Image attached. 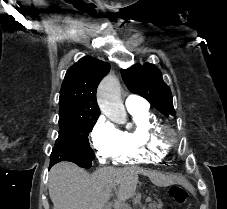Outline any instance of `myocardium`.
<instances>
[{"label": "myocardium", "instance_id": "myocardium-1", "mask_svg": "<svg viewBox=\"0 0 227 209\" xmlns=\"http://www.w3.org/2000/svg\"><path fill=\"white\" fill-rule=\"evenodd\" d=\"M150 136L154 143L167 150L181 148L185 143V138L179 130L162 121L151 129Z\"/></svg>", "mask_w": 227, "mask_h": 209}]
</instances>
